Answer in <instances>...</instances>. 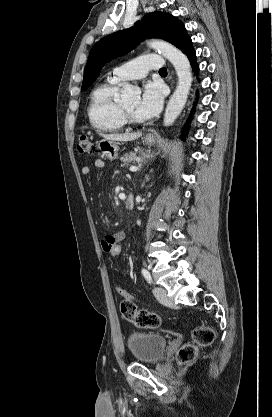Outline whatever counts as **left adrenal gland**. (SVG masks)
I'll return each mask as SVG.
<instances>
[{
	"label": "left adrenal gland",
	"mask_w": 272,
	"mask_h": 417,
	"mask_svg": "<svg viewBox=\"0 0 272 417\" xmlns=\"http://www.w3.org/2000/svg\"><path fill=\"white\" fill-rule=\"evenodd\" d=\"M146 181H149V177L148 176H146Z\"/></svg>",
	"instance_id": "left-adrenal-gland-1"
}]
</instances>
